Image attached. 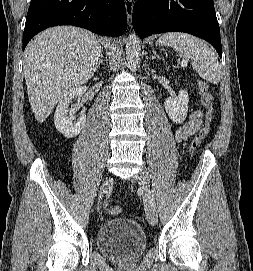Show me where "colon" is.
I'll use <instances>...</instances> for the list:
<instances>
[{
    "mask_svg": "<svg viewBox=\"0 0 253 271\" xmlns=\"http://www.w3.org/2000/svg\"><path fill=\"white\" fill-rule=\"evenodd\" d=\"M199 89L203 97V105L206 109V115H205V123L204 126L196 133V135L193 137L190 143V153L195 154L198 150L199 146L207 136L208 132L211 129L212 126V120H213V96L208 88V86L201 82L199 84ZM107 212L110 216H118L121 214L122 209L120 206L117 205H111L108 207Z\"/></svg>",
    "mask_w": 253,
    "mask_h": 271,
    "instance_id": "obj_1",
    "label": "colon"
}]
</instances>
